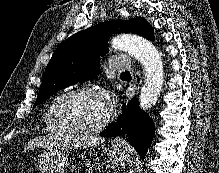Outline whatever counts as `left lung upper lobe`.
Returning a JSON list of instances; mask_svg holds the SVG:
<instances>
[{
  "mask_svg": "<svg viewBox=\"0 0 219 173\" xmlns=\"http://www.w3.org/2000/svg\"><path fill=\"white\" fill-rule=\"evenodd\" d=\"M133 33L154 40L152 26L141 17L107 21L82 30L61 43L48 63L34 107L78 81L93 80L100 72V56L113 33Z\"/></svg>",
  "mask_w": 219,
  "mask_h": 173,
  "instance_id": "left-lung-upper-lobe-1",
  "label": "left lung upper lobe"
}]
</instances>
